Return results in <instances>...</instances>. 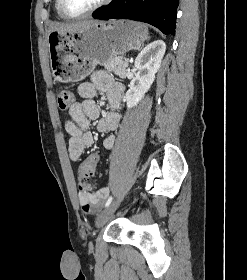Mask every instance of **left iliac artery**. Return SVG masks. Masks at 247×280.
<instances>
[{
	"label": "left iliac artery",
	"mask_w": 247,
	"mask_h": 280,
	"mask_svg": "<svg viewBox=\"0 0 247 280\" xmlns=\"http://www.w3.org/2000/svg\"><path fill=\"white\" fill-rule=\"evenodd\" d=\"M112 196H110L108 199H107V201H106V203H105V207H108L110 204H111V202H112Z\"/></svg>",
	"instance_id": "obj_1"
}]
</instances>
